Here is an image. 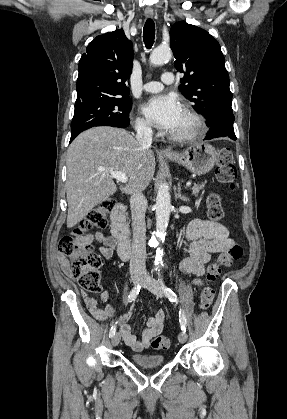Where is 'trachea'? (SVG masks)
<instances>
[{
  "mask_svg": "<svg viewBox=\"0 0 287 419\" xmlns=\"http://www.w3.org/2000/svg\"><path fill=\"white\" fill-rule=\"evenodd\" d=\"M155 39V24L152 19H147L143 28V41L146 48H151Z\"/></svg>",
  "mask_w": 287,
  "mask_h": 419,
  "instance_id": "obj_1",
  "label": "trachea"
}]
</instances>
